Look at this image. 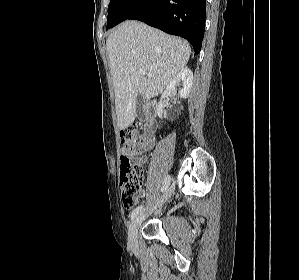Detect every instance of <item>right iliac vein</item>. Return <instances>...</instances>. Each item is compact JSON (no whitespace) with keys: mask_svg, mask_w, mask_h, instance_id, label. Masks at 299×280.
<instances>
[{"mask_svg":"<svg viewBox=\"0 0 299 280\" xmlns=\"http://www.w3.org/2000/svg\"><path fill=\"white\" fill-rule=\"evenodd\" d=\"M174 188H175V186H174V184H172L170 186V188L166 191V193L161 197V199L159 200V202L157 203L156 206H160L163 203H165L171 197V195L174 191ZM147 214L148 213H141L136 219L133 220V222L129 226L128 243L132 249L137 248V232H138V229H139L141 223L146 218Z\"/></svg>","mask_w":299,"mask_h":280,"instance_id":"63e3f726","label":"right iliac vein"}]
</instances>
